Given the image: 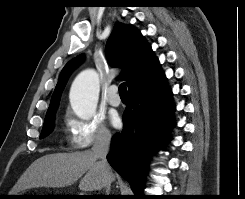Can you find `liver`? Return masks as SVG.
<instances>
[{"label":"liver","instance_id":"1","mask_svg":"<svg viewBox=\"0 0 245 199\" xmlns=\"http://www.w3.org/2000/svg\"><path fill=\"white\" fill-rule=\"evenodd\" d=\"M79 178L82 191L104 188L101 170L92 150L48 154L34 161L18 181L15 192L29 188H62ZM115 179L111 172L110 181Z\"/></svg>","mask_w":245,"mask_h":199}]
</instances>
